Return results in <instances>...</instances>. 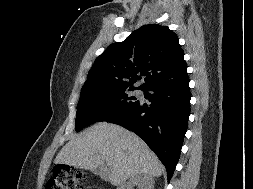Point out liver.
I'll list each match as a JSON object with an SVG mask.
<instances>
[{
	"instance_id": "6515ba94",
	"label": "liver",
	"mask_w": 253,
	"mask_h": 189,
	"mask_svg": "<svg viewBox=\"0 0 253 189\" xmlns=\"http://www.w3.org/2000/svg\"><path fill=\"white\" fill-rule=\"evenodd\" d=\"M55 164L82 169L105 167L104 177L114 186L128 178L162 175L163 166L155 153L137 135L115 124L100 122L73 137L58 153Z\"/></svg>"
}]
</instances>
